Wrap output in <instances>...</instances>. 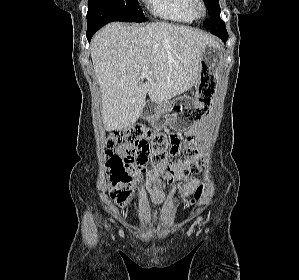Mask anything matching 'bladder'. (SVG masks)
Wrapping results in <instances>:
<instances>
[{
	"label": "bladder",
	"mask_w": 299,
	"mask_h": 280,
	"mask_svg": "<svg viewBox=\"0 0 299 280\" xmlns=\"http://www.w3.org/2000/svg\"><path fill=\"white\" fill-rule=\"evenodd\" d=\"M170 222H164V219L161 215H153L151 218L146 220L142 226L145 229H157L164 230L167 229Z\"/></svg>",
	"instance_id": "obj_1"
}]
</instances>
